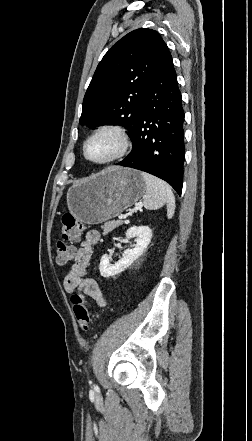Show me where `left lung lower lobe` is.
Listing matches in <instances>:
<instances>
[{"mask_svg": "<svg viewBox=\"0 0 252 441\" xmlns=\"http://www.w3.org/2000/svg\"><path fill=\"white\" fill-rule=\"evenodd\" d=\"M184 111L172 56L163 45L132 137L131 153L117 165L168 182L180 195L184 164Z\"/></svg>", "mask_w": 252, "mask_h": 441, "instance_id": "1", "label": "left lung lower lobe"}]
</instances>
